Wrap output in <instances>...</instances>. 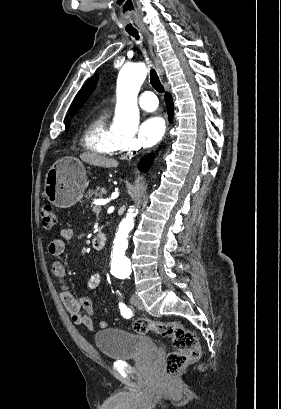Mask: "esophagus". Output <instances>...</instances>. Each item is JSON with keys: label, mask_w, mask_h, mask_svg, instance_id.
<instances>
[{"label": "esophagus", "mask_w": 281, "mask_h": 409, "mask_svg": "<svg viewBox=\"0 0 281 409\" xmlns=\"http://www.w3.org/2000/svg\"><path fill=\"white\" fill-rule=\"evenodd\" d=\"M144 34H145V36L147 38L148 45H149V48H150V53H151L152 59H153V61L155 63V66H156L159 74L161 76H163L164 75V68L162 66L161 59L159 57L156 45H155L154 41L152 40V38L146 32H144Z\"/></svg>", "instance_id": "34e87169"}]
</instances>
